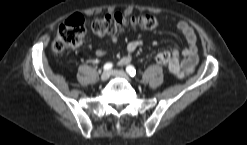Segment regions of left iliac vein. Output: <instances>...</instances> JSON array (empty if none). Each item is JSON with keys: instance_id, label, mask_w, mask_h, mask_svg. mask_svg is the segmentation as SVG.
Wrapping results in <instances>:
<instances>
[{"instance_id": "left-iliac-vein-1", "label": "left iliac vein", "mask_w": 247, "mask_h": 145, "mask_svg": "<svg viewBox=\"0 0 247 145\" xmlns=\"http://www.w3.org/2000/svg\"><path fill=\"white\" fill-rule=\"evenodd\" d=\"M111 74L112 76H115V77H121V78H124L126 79L127 81H131L129 76L122 70H112L111 71Z\"/></svg>"}]
</instances>
